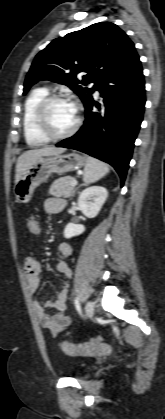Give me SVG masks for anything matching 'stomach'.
<instances>
[{
	"label": "stomach",
	"instance_id": "1",
	"mask_svg": "<svg viewBox=\"0 0 165 419\" xmlns=\"http://www.w3.org/2000/svg\"><path fill=\"white\" fill-rule=\"evenodd\" d=\"M86 158L75 152L38 158L15 184L14 195L19 203H28L34 190L46 182L52 173L64 174L81 169Z\"/></svg>",
	"mask_w": 165,
	"mask_h": 419
}]
</instances>
